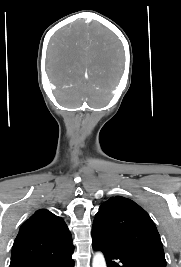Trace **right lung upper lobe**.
I'll return each instance as SVG.
<instances>
[{
  "instance_id": "obj_1",
  "label": "right lung upper lobe",
  "mask_w": 181,
  "mask_h": 267,
  "mask_svg": "<svg viewBox=\"0 0 181 267\" xmlns=\"http://www.w3.org/2000/svg\"><path fill=\"white\" fill-rule=\"evenodd\" d=\"M72 249L71 233L64 220L40 209L21 226L13 244L11 262L48 258Z\"/></svg>"
}]
</instances>
